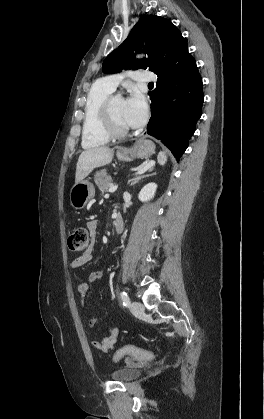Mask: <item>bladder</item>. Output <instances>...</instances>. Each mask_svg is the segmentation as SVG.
Returning a JSON list of instances; mask_svg holds the SVG:
<instances>
[{"instance_id":"obj_1","label":"bladder","mask_w":264,"mask_h":419,"mask_svg":"<svg viewBox=\"0 0 264 419\" xmlns=\"http://www.w3.org/2000/svg\"><path fill=\"white\" fill-rule=\"evenodd\" d=\"M141 369L134 365H129L111 373L112 379L120 382H130L141 376Z\"/></svg>"}]
</instances>
